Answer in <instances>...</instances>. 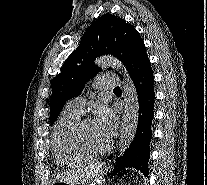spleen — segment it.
Instances as JSON below:
<instances>
[{"instance_id": "obj_1", "label": "spleen", "mask_w": 207, "mask_h": 185, "mask_svg": "<svg viewBox=\"0 0 207 185\" xmlns=\"http://www.w3.org/2000/svg\"><path fill=\"white\" fill-rule=\"evenodd\" d=\"M131 171H136V166H131Z\"/></svg>"}]
</instances>
